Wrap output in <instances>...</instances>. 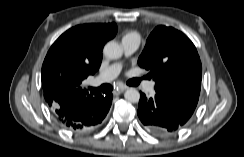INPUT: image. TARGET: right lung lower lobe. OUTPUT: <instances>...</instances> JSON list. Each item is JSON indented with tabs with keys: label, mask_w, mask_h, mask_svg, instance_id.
Wrapping results in <instances>:
<instances>
[{
	"label": "right lung lower lobe",
	"mask_w": 244,
	"mask_h": 157,
	"mask_svg": "<svg viewBox=\"0 0 244 157\" xmlns=\"http://www.w3.org/2000/svg\"><path fill=\"white\" fill-rule=\"evenodd\" d=\"M112 98L113 95L109 93L93 103L78 106L77 109L66 115L55 113V116L64 127L71 131H87L102 123L110 109Z\"/></svg>",
	"instance_id": "98d812e1"
}]
</instances>
